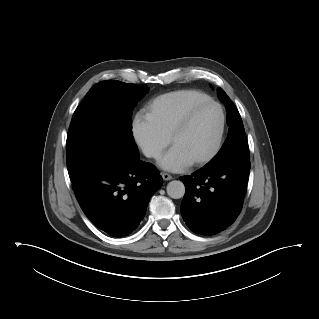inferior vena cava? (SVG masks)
<instances>
[{
	"label": "inferior vena cava",
	"instance_id": "602c4592",
	"mask_svg": "<svg viewBox=\"0 0 319 319\" xmlns=\"http://www.w3.org/2000/svg\"><path fill=\"white\" fill-rule=\"evenodd\" d=\"M145 155H146L147 157H155V156L157 155V153H155V152H153V151L147 150V151L145 152Z\"/></svg>",
	"mask_w": 319,
	"mask_h": 319
}]
</instances>
